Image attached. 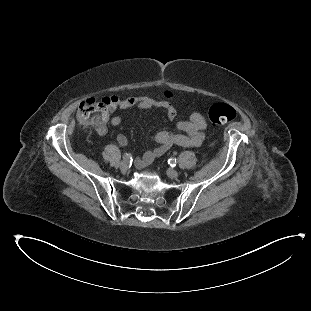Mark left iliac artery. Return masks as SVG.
<instances>
[{"label":"left iliac artery","mask_w":311,"mask_h":311,"mask_svg":"<svg viewBox=\"0 0 311 311\" xmlns=\"http://www.w3.org/2000/svg\"><path fill=\"white\" fill-rule=\"evenodd\" d=\"M168 164L171 166V167H175L177 165V158H170L168 160Z\"/></svg>","instance_id":"left-iliac-artery-1"}]
</instances>
